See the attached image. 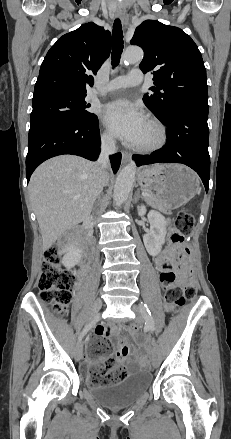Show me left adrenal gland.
<instances>
[{
  "label": "left adrenal gland",
  "instance_id": "obj_1",
  "mask_svg": "<svg viewBox=\"0 0 231 439\" xmlns=\"http://www.w3.org/2000/svg\"><path fill=\"white\" fill-rule=\"evenodd\" d=\"M139 198H143V197L140 195V192L137 191V192H136V195H135V197H134L135 202H136Z\"/></svg>",
  "mask_w": 231,
  "mask_h": 439
}]
</instances>
